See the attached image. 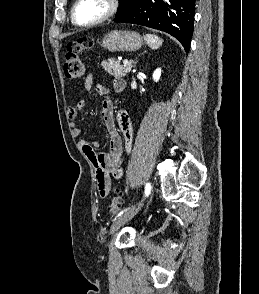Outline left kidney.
I'll return each instance as SVG.
<instances>
[{"instance_id":"left-kidney-1","label":"left kidney","mask_w":259,"mask_h":294,"mask_svg":"<svg viewBox=\"0 0 259 294\" xmlns=\"http://www.w3.org/2000/svg\"><path fill=\"white\" fill-rule=\"evenodd\" d=\"M160 76H161V69L160 68H157L154 73H153V80L155 82H158L159 79H160Z\"/></svg>"}]
</instances>
